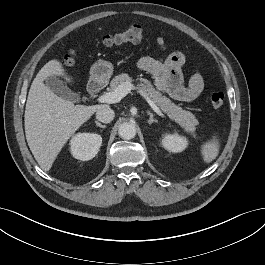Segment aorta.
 <instances>
[{"label":"aorta","instance_id":"aorta-1","mask_svg":"<svg viewBox=\"0 0 265 265\" xmlns=\"http://www.w3.org/2000/svg\"><path fill=\"white\" fill-rule=\"evenodd\" d=\"M118 134L125 140H130L136 135L135 125L129 122L122 123L119 126Z\"/></svg>","mask_w":265,"mask_h":265}]
</instances>
